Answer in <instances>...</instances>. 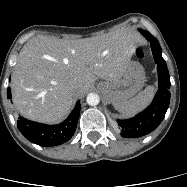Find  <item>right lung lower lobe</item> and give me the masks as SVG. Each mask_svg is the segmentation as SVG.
I'll return each instance as SVG.
<instances>
[{
    "instance_id": "1",
    "label": "right lung lower lobe",
    "mask_w": 187,
    "mask_h": 187,
    "mask_svg": "<svg viewBox=\"0 0 187 187\" xmlns=\"http://www.w3.org/2000/svg\"><path fill=\"white\" fill-rule=\"evenodd\" d=\"M7 97L11 99L10 88L7 89ZM80 115V103L77 102L75 108L68 118L61 124L46 125L19 117L17 127L29 141L40 146H56L68 141L74 134L77 121Z\"/></svg>"
}]
</instances>
